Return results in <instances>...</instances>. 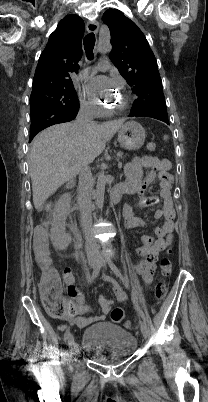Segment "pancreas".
Here are the masks:
<instances>
[{
    "mask_svg": "<svg viewBox=\"0 0 208 402\" xmlns=\"http://www.w3.org/2000/svg\"><path fill=\"white\" fill-rule=\"evenodd\" d=\"M117 156H118V158H122L123 152H118Z\"/></svg>",
    "mask_w": 208,
    "mask_h": 402,
    "instance_id": "1",
    "label": "pancreas"
}]
</instances>
